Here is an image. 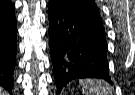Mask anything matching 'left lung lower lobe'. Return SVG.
Here are the masks:
<instances>
[{
  "instance_id": "1",
  "label": "left lung lower lobe",
  "mask_w": 135,
  "mask_h": 95,
  "mask_svg": "<svg viewBox=\"0 0 135 95\" xmlns=\"http://www.w3.org/2000/svg\"><path fill=\"white\" fill-rule=\"evenodd\" d=\"M49 8V39L57 94L71 80L101 78L112 84L103 25Z\"/></svg>"
}]
</instances>
